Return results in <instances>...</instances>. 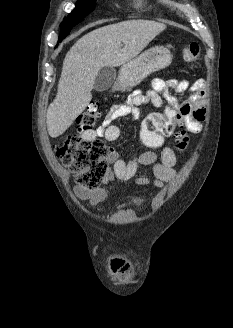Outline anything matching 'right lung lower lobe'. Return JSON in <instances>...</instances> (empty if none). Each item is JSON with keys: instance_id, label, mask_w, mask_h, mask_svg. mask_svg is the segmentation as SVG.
Masks as SVG:
<instances>
[{"instance_id": "1", "label": "right lung lower lobe", "mask_w": 233, "mask_h": 328, "mask_svg": "<svg viewBox=\"0 0 233 328\" xmlns=\"http://www.w3.org/2000/svg\"><path fill=\"white\" fill-rule=\"evenodd\" d=\"M75 25H66V26H60L61 27V35L59 37V42H61L70 32V30L72 29V27Z\"/></svg>"}]
</instances>
